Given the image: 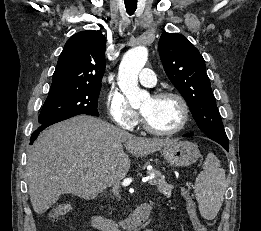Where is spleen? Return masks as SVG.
<instances>
[{
    "mask_svg": "<svg viewBox=\"0 0 261 231\" xmlns=\"http://www.w3.org/2000/svg\"><path fill=\"white\" fill-rule=\"evenodd\" d=\"M226 189L225 170L220 161L209 153L203 164V171L196 178L194 192L199 204V211L203 218L213 220L224 199Z\"/></svg>",
    "mask_w": 261,
    "mask_h": 231,
    "instance_id": "3e777b00",
    "label": "spleen"
}]
</instances>
